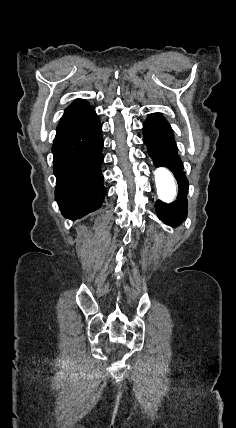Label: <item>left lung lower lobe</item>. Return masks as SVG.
<instances>
[{
  "mask_svg": "<svg viewBox=\"0 0 236 428\" xmlns=\"http://www.w3.org/2000/svg\"><path fill=\"white\" fill-rule=\"evenodd\" d=\"M143 132L144 142L155 166L168 168L179 187L177 200L173 203L165 204L160 200L156 202L158 217L170 226H178L187 216L188 180L183 172L172 128L161 114L156 113L146 119Z\"/></svg>",
  "mask_w": 236,
  "mask_h": 428,
  "instance_id": "left-lung-lower-lobe-1",
  "label": "left lung lower lobe"
}]
</instances>
